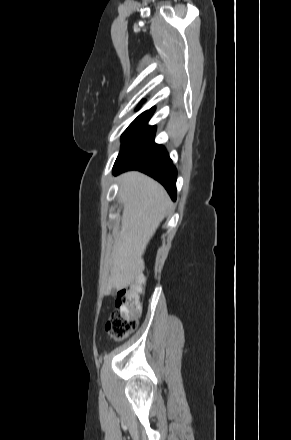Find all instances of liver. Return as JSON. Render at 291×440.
I'll use <instances>...</instances> for the list:
<instances>
[{
    "mask_svg": "<svg viewBox=\"0 0 291 440\" xmlns=\"http://www.w3.org/2000/svg\"><path fill=\"white\" fill-rule=\"evenodd\" d=\"M119 182L123 214L121 229L115 238L106 294L112 289L127 287L143 271L146 247L170 206L164 188L143 173H124Z\"/></svg>",
    "mask_w": 291,
    "mask_h": 440,
    "instance_id": "obj_1",
    "label": "liver"
}]
</instances>
